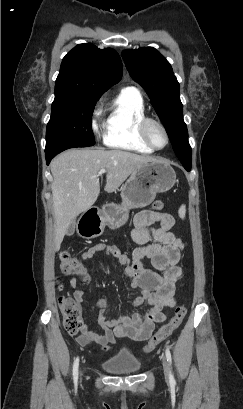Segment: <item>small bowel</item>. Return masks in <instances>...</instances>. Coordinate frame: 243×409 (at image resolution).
I'll list each match as a JSON object with an SVG mask.
<instances>
[{
	"label": "small bowel",
	"mask_w": 243,
	"mask_h": 409,
	"mask_svg": "<svg viewBox=\"0 0 243 409\" xmlns=\"http://www.w3.org/2000/svg\"><path fill=\"white\" fill-rule=\"evenodd\" d=\"M156 223L159 224L158 227L154 226ZM173 226L174 218L171 214L144 210L134 219L131 237L139 247L135 248L130 256L123 254L115 245L102 243L90 247L81 255L83 260H91L103 253L124 265L131 288L141 290L133 304H146L148 309L143 313H122L117 317H109L105 313L108 301L101 299L98 303L96 323L103 330V334H97L85 324L82 333L76 337L80 346L85 347L93 341L101 349L111 350L119 338L145 341L153 334L155 324L167 319L165 309L175 306L174 296L183 287V284L179 283L183 276L179 260L184 244L171 231ZM145 258L151 261L153 269L143 265ZM70 285L75 289L73 297L82 304L83 291L76 289L75 278L71 279Z\"/></svg>",
	"instance_id": "small-bowel-1"
}]
</instances>
